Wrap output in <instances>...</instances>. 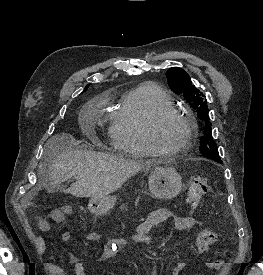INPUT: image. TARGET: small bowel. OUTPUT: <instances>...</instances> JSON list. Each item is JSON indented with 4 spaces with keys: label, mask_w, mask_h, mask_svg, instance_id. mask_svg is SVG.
<instances>
[{
    "label": "small bowel",
    "mask_w": 263,
    "mask_h": 275,
    "mask_svg": "<svg viewBox=\"0 0 263 275\" xmlns=\"http://www.w3.org/2000/svg\"><path fill=\"white\" fill-rule=\"evenodd\" d=\"M171 218L174 221L175 229L179 231L188 230L196 224V220L192 216H177L168 209H157L138 225L136 232L130 238H117L108 241L103 246L100 260L107 261L114 257L118 250L125 246L128 241L153 244L154 240L149 235L152 229ZM38 228L44 232H50L51 230L50 224L46 221L38 222ZM71 237L69 232H64L61 235V240L63 242H70ZM85 240L87 242L98 243L100 242V235L97 232H89L85 235ZM37 248L40 254H43L46 250V244L41 237L37 238ZM71 262L73 263L75 275H87L85 265L82 262L78 261L75 257H71ZM45 268L50 275H67L66 267L54 262L45 263ZM184 268L185 263L182 261L178 262L172 271V275H180Z\"/></svg>",
    "instance_id": "1"
}]
</instances>
